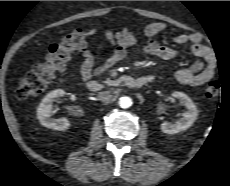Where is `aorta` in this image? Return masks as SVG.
I'll return each instance as SVG.
<instances>
[{
	"mask_svg": "<svg viewBox=\"0 0 230 186\" xmlns=\"http://www.w3.org/2000/svg\"><path fill=\"white\" fill-rule=\"evenodd\" d=\"M119 105L121 108H129L132 106V99L128 96H123L119 99Z\"/></svg>",
	"mask_w": 230,
	"mask_h": 186,
	"instance_id": "aorta-1",
	"label": "aorta"
}]
</instances>
